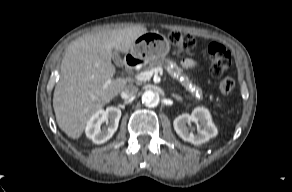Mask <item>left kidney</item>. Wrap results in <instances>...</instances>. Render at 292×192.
I'll use <instances>...</instances> for the list:
<instances>
[{"label": "left kidney", "instance_id": "left-kidney-1", "mask_svg": "<svg viewBox=\"0 0 292 192\" xmlns=\"http://www.w3.org/2000/svg\"><path fill=\"white\" fill-rule=\"evenodd\" d=\"M194 122L197 125V134L189 132L187 124ZM176 133L187 142L200 145L217 135L218 131L212 122L208 109L204 107L195 108L191 115L185 113L175 118L173 122Z\"/></svg>", "mask_w": 292, "mask_h": 192}]
</instances>
